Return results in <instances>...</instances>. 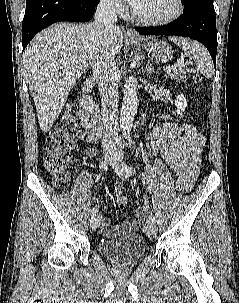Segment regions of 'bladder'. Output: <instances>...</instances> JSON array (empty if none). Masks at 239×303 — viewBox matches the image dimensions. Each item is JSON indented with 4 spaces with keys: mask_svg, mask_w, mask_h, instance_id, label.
I'll return each instance as SVG.
<instances>
[{
    "mask_svg": "<svg viewBox=\"0 0 239 303\" xmlns=\"http://www.w3.org/2000/svg\"><path fill=\"white\" fill-rule=\"evenodd\" d=\"M102 256L120 265H130L145 253V243L139 233H128L111 240L101 241L98 245Z\"/></svg>",
    "mask_w": 239,
    "mask_h": 303,
    "instance_id": "1",
    "label": "bladder"
}]
</instances>
